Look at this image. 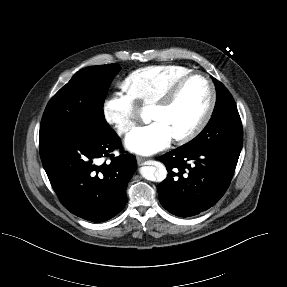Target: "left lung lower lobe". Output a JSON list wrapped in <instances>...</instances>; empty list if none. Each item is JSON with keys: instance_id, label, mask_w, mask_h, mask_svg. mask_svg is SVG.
<instances>
[{"instance_id": "obj_1", "label": "left lung lower lobe", "mask_w": 287, "mask_h": 287, "mask_svg": "<svg viewBox=\"0 0 287 287\" xmlns=\"http://www.w3.org/2000/svg\"><path fill=\"white\" fill-rule=\"evenodd\" d=\"M239 155L222 148L185 144L159 157L168 171L157 186L160 203L179 217L206 211L228 188Z\"/></svg>"}]
</instances>
